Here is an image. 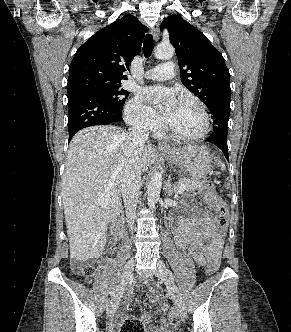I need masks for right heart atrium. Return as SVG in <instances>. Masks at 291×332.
Segmentation results:
<instances>
[{
    "label": "right heart atrium",
    "instance_id": "d8ad5b80",
    "mask_svg": "<svg viewBox=\"0 0 291 332\" xmlns=\"http://www.w3.org/2000/svg\"><path fill=\"white\" fill-rule=\"evenodd\" d=\"M125 118L127 122L142 131L152 132L158 129L159 125L150 115L148 109L139 98H132L125 107Z\"/></svg>",
    "mask_w": 291,
    "mask_h": 332
}]
</instances>
